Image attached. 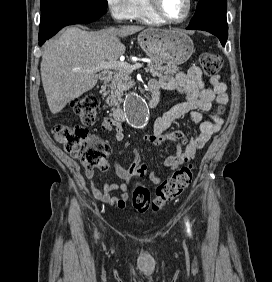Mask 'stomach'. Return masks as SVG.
<instances>
[{
  "instance_id": "stomach-1",
  "label": "stomach",
  "mask_w": 272,
  "mask_h": 282,
  "mask_svg": "<svg viewBox=\"0 0 272 282\" xmlns=\"http://www.w3.org/2000/svg\"><path fill=\"white\" fill-rule=\"evenodd\" d=\"M143 51L159 63L179 65L194 52L192 39L178 29H145L138 35Z\"/></svg>"
}]
</instances>
